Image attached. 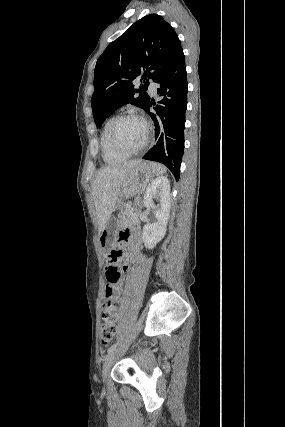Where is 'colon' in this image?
Here are the masks:
<instances>
[{"label": "colon", "mask_w": 285, "mask_h": 427, "mask_svg": "<svg viewBox=\"0 0 285 427\" xmlns=\"http://www.w3.org/2000/svg\"><path fill=\"white\" fill-rule=\"evenodd\" d=\"M121 253L119 250H112L107 255L108 265L105 268V277L107 281L106 295L108 296L103 302V325L101 327L100 339L103 343H108L112 340L115 335V321L117 318V310L114 305V301L109 298L111 295V287L117 286L121 281V270L118 267Z\"/></svg>", "instance_id": "colon-1"}]
</instances>
